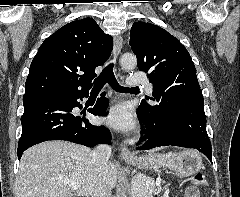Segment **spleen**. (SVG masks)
<instances>
[{"label": "spleen", "instance_id": "obj_1", "mask_svg": "<svg viewBox=\"0 0 240 197\" xmlns=\"http://www.w3.org/2000/svg\"><path fill=\"white\" fill-rule=\"evenodd\" d=\"M152 195V189L150 188L149 193L145 197H150ZM152 197V196H151Z\"/></svg>", "mask_w": 240, "mask_h": 197}]
</instances>
